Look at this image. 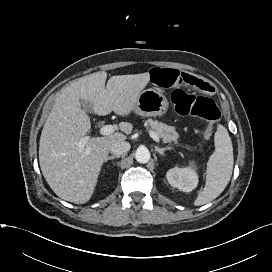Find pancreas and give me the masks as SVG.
<instances>
[{
	"label": "pancreas",
	"mask_w": 272,
	"mask_h": 272,
	"mask_svg": "<svg viewBox=\"0 0 272 272\" xmlns=\"http://www.w3.org/2000/svg\"><path fill=\"white\" fill-rule=\"evenodd\" d=\"M145 125L153 129L157 136L162 138L164 143L174 142L176 144L178 142L179 134L176 132L175 127L153 121L152 119L147 120Z\"/></svg>",
	"instance_id": "1"
}]
</instances>
